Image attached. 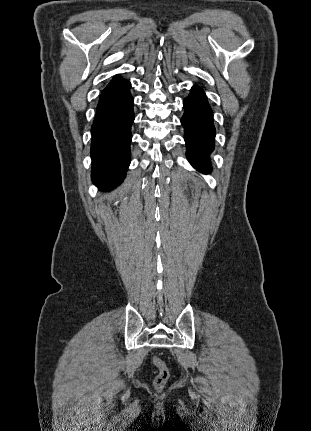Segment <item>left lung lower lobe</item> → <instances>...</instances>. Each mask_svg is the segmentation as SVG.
<instances>
[{
	"instance_id": "left-lung-lower-lobe-1",
	"label": "left lung lower lobe",
	"mask_w": 311,
	"mask_h": 431,
	"mask_svg": "<svg viewBox=\"0 0 311 431\" xmlns=\"http://www.w3.org/2000/svg\"><path fill=\"white\" fill-rule=\"evenodd\" d=\"M183 105L185 113L181 123L185 129L188 160L198 170L208 173L211 169L208 156L214 148L215 136L212 110L198 86L192 88Z\"/></svg>"
}]
</instances>
